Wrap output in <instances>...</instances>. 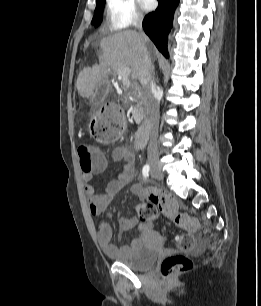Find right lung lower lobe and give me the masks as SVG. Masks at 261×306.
<instances>
[{"instance_id": "1", "label": "right lung lower lobe", "mask_w": 261, "mask_h": 306, "mask_svg": "<svg viewBox=\"0 0 261 306\" xmlns=\"http://www.w3.org/2000/svg\"><path fill=\"white\" fill-rule=\"evenodd\" d=\"M158 2L157 9L144 18L143 29L158 50L168 57L167 37L172 28L174 12L179 0H158Z\"/></svg>"}]
</instances>
